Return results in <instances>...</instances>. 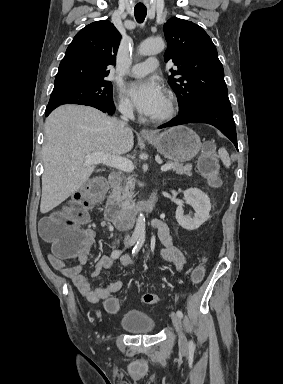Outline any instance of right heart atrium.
<instances>
[{
	"label": "right heart atrium",
	"mask_w": 283,
	"mask_h": 384,
	"mask_svg": "<svg viewBox=\"0 0 283 384\" xmlns=\"http://www.w3.org/2000/svg\"><path fill=\"white\" fill-rule=\"evenodd\" d=\"M118 110L123 114L124 116H129L132 113V107L130 103L123 97H120L118 99Z\"/></svg>",
	"instance_id": "1"
}]
</instances>
